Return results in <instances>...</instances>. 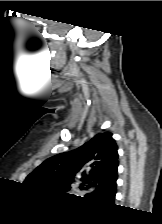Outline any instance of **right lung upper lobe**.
I'll return each mask as SVG.
<instances>
[{
	"label": "right lung upper lobe",
	"instance_id": "1",
	"mask_svg": "<svg viewBox=\"0 0 162 224\" xmlns=\"http://www.w3.org/2000/svg\"><path fill=\"white\" fill-rule=\"evenodd\" d=\"M117 149L112 133L97 134L78 149L45 160L24 183L63 194L80 176L84 182L80 188L89 190L87 196L110 202L116 194Z\"/></svg>",
	"mask_w": 162,
	"mask_h": 224
}]
</instances>
